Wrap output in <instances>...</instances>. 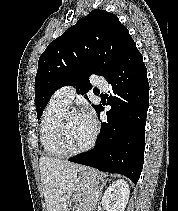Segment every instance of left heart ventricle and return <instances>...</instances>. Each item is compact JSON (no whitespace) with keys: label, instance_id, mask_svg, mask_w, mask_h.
<instances>
[{"label":"left heart ventricle","instance_id":"1","mask_svg":"<svg viewBox=\"0 0 178 211\" xmlns=\"http://www.w3.org/2000/svg\"><path fill=\"white\" fill-rule=\"evenodd\" d=\"M93 125L82 115H73L68 121L65 144L69 150H78L84 147L91 139Z\"/></svg>","mask_w":178,"mask_h":211}]
</instances>
